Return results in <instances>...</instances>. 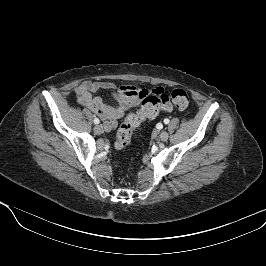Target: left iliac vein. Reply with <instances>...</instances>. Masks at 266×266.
Returning a JSON list of instances; mask_svg holds the SVG:
<instances>
[{"instance_id":"left-iliac-vein-1","label":"left iliac vein","mask_w":266,"mask_h":266,"mask_svg":"<svg viewBox=\"0 0 266 266\" xmlns=\"http://www.w3.org/2000/svg\"><path fill=\"white\" fill-rule=\"evenodd\" d=\"M168 137H169V134H168L167 131H162L161 132V134H160L161 141H167Z\"/></svg>"}]
</instances>
